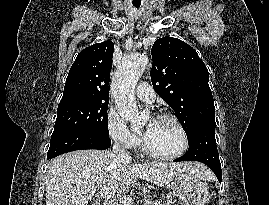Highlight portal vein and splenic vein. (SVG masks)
I'll use <instances>...</instances> for the list:
<instances>
[{
    "label": "portal vein and splenic vein",
    "mask_w": 269,
    "mask_h": 205,
    "mask_svg": "<svg viewBox=\"0 0 269 205\" xmlns=\"http://www.w3.org/2000/svg\"><path fill=\"white\" fill-rule=\"evenodd\" d=\"M99 195L101 197H104L109 200H116L122 203L123 205H132L131 204V198L121 195H116L112 192H110L109 187L104 185L101 187V190L99 191ZM146 204H150L151 201H145Z\"/></svg>",
    "instance_id": "obj_1"
}]
</instances>
